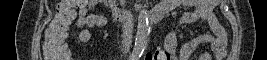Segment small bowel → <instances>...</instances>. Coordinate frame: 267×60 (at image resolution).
Returning a JSON list of instances; mask_svg holds the SVG:
<instances>
[{
	"mask_svg": "<svg viewBox=\"0 0 267 60\" xmlns=\"http://www.w3.org/2000/svg\"><path fill=\"white\" fill-rule=\"evenodd\" d=\"M103 1L92 0L83 6H76L78 12L77 21H83L85 26L79 32L78 39L82 43L89 41L91 28L105 24V18L101 15L91 13V11ZM217 0H165L160 6L171 9L178 5L192 7L193 9L183 13L177 25L167 34L164 40V49L154 53L145 54V60H188L193 52L202 44H210V52L199 55V60H211L213 58L222 60L226 56L227 33L217 17L214 15V8L218 5ZM205 21L210 32L199 35L185 43L180 50L177 49V30L180 26L196 22Z\"/></svg>",
	"mask_w": 267,
	"mask_h": 60,
	"instance_id": "small-bowel-1",
	"label": "small bowel"
}]
</instances>
